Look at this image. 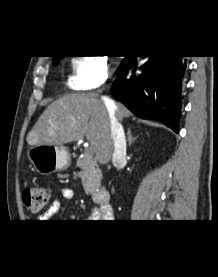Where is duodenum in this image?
Here are the masks:
<instances>
[{
  "mask_svg": "<svg viewBox=\"0 0 218 277\" xmlns=\"http://www.w3.org/2000/svg\"><path fill=\"white\" fill-rule=\"evenodd\" d=\"M110 198V191L107 189H101L94 194V199L96 203H98L101 206H106L107 204H109Z\"/></svg>",
  "mask_w": 218,
  "mask_h": 277,
  "instance_id": "obj_1",
  "label": "duodenum"
}]
</instances>
